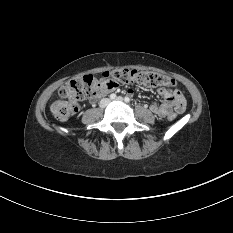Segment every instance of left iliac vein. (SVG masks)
<instances>
[{
	"mask_svg": "<svg viewBox=\"0 0 233 233\" xmlns=\"http://www.w3.org/2000/svg\"><path fill=\"white\" fill-rule=\"evenodd\" d=\"M116 101H119V102H122V101H124V99L122 98V97H117L116 99H115Z\"/></svg>",
	"mask_w": 233,
	"mask_h": 233,
	"instance_id": "1",
	"label": "left iliac vein"
}]
</instances>
